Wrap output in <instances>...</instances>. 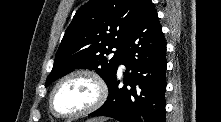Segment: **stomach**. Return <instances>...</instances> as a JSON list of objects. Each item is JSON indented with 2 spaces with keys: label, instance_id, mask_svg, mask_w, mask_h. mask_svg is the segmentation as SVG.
I'll return each mask as SVG.
<instances>
[{
  "label": "stomach",
  "instance_id": "obj_1",
  "mask_svg": "<svg viewBox=\"0 0 221 122\" xmlns=\"http://www.w3.org/2000/svg\"><path fill=\"white\" fill-rule=\"evenodd\" d=\"M107 119L106 118H93L88 120L87 122H106Z\"/></svg>",
  "mask_w": 221,
  "mask_h": 122
}]
</instances>
